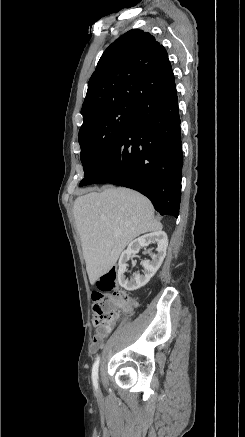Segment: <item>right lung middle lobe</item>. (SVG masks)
<instances>
[{"label": "right lung middle lobe", "mask_w": 245, "mask_h": 437, "mask_svg": "<svg viewBox=\"0 0 245 437\" xmlns=\"http://www.w3.org/2000/svg\"><path fill=\"white\" fill-rule=\"evenodd\" d=\"M136 110L131 103L100 108L84 119L79 131L84 179L111 153Z\"/></svg>", "instance_id": "right-lung-middle-lobe-1"}]
</instances>
